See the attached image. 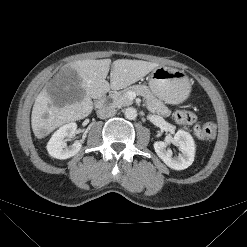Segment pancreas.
Returning <instances> with one entry per match:
<instances>
[{"mask_svg":"<svg viewBox=\"0 0 247 247\" xmlns=\"http://www.w3.org/2000/svg\"><path fill=\"white\" fill-rule=\"evenodd\" d=\"M134 92L136 95L142 96L150 111L167 117L170 115L169 109L164 105V103L157 99L150 89L146 85H133L122 91L114 92L110 95L112 99L111 105L114 107L128 106L133 103V100L128 98V93Z\"/></svg>","mask_w":247,"mask_h":247,"instance_id":"obj_1","label":"pancreas"}]
</instances>
